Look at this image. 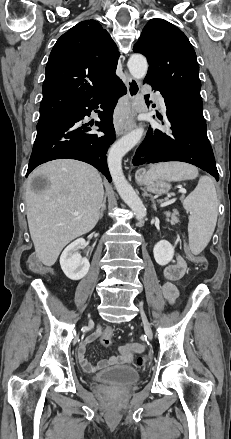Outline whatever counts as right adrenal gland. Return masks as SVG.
Wrapping results in <instances>:
<instances>
[{"mask_svg": "<svg viewBox=\"0 0 231 439\" xmlns=\"http://www.w3.org/2000/svg\"><path fill=\"white\" fill-rule=\"evenodd\" d=\"M106 209V195H104L103 202L100 209V219L103 217V211Z\"/></svg>", "mask_w": 231, "mask_h": 439, "instance_id": "1", "label": "right adrenal gland"}]
</instances>
